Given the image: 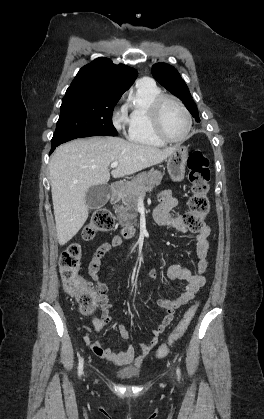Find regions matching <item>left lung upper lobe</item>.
Instances as JSON below:
<instances>
[{"label": "left lung upper lobe", "mask_w": 264, "mask_h": 419, "mask_svg": "<svg viewBox=\"0 0 264 419\" xmlns=\"http://www.w3.org/2000/svg\"><path fill=\"white\" fill-rule=\"evenodd\" d=\"M151 72L154 78L168 91L177 96L196 119L200 121L198 117L197 106L192 99L189 89L184 80L179 75L178 71L165 63H158L152 66Z\"/></svg>", "instance_id": "left-lung-upper-lobe-1"}]
</instances>
